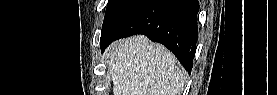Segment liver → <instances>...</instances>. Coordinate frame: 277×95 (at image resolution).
<instances>
[{"instance_id":"obj_1","label":"liver","mask_w":277,"mask_h":95,"mask_svg":"<svg viewBox=\"0 0 277 95\" xmlns=\"http://www.w3.org/2000/svg\"><path fill=\"white\" fill-rule=\"evenodd\" d=\"M107 59L113 95H180L184 87L175 56L144 35L112 43Z\"/></svg>"}]
</instances>
